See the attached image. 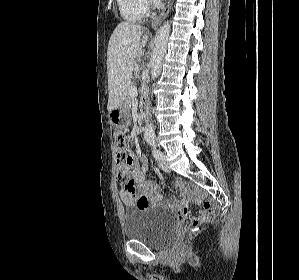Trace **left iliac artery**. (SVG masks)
I'll return each mask as SVG.
<instances>
[{
	"instance_id": "left-iliac-artery-1",
	"label": "left iliac artery",
	"mask_w": 299,
	"mask_h": 280,
	"mask_svg": "<svg viewBox=\"0 0 299 280\" xmlns=\"http://www.w3.org/2000/svg\"><path fill=\"white\" fill-rule=\"evenodd\" d=\"M148 143L152 146L154 158L156 160L162 159L163 154H162V152L159 149H157V145H156L155 139H149Z\"/></svg>"
}]
</instances>
